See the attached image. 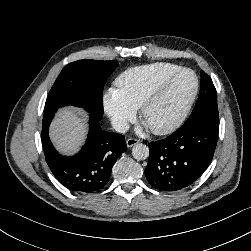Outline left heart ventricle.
Listing matches in <instances>:
<instances>
[{"mask_svg": "<svg viewBox=\"0 0 251 251\" xmlns=\"http://www.w3.org/2000/svg\"><path fill=\"white\" fill-rule=\"evenodd\" d=\"M194 87V77L189 73L178 76L162 96L146 111L144 123L149 128L170 124L181 112Z\"/></svg>", "mask_w": 251, "mask_h": 251, "instance_id": "b2bd125f", "label": "left heart ventricle"}]
</instances>
